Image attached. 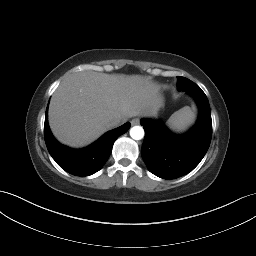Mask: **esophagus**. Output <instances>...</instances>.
<instances>
[{
  "instance_id": "obj_1",
  "label": "esophagus",
  "mask_w": 256,
  "mask_h": 256,
  "mask_svg": "<svg viewBox=\"0 0 256 256\" xmlns=\"http://www.w3.org/2000/svg\"><path fill=\"white\" fill-rule=\"evenodd\" d=\"M139 122H140L139 118H134L131 120L132 125H137V124H139Z\"/></svg>"
}]
</instances>
